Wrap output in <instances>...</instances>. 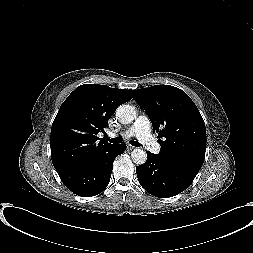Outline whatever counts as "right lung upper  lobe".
I'll list each match as a JSON object with an SVG mask.
<instances>
[{
  "instance_id": "1",
  "label": "right lung upper lobe",
  "mask_w": 253,
  "mask_h": 253,
  "mask_svg": "<svg viewBox=\"0 0 253 253\" xmlns=\"http://www.w3.org/2000/svg\"><path fill=\"white\" fill-rule=\"evenodd\" d=\"M131 99L130 90L94 84L81 85L68 96L51 128V158L58 174L112 146L97 134L104 132L117 107Z\"/></svg>"
}]
</instances>
